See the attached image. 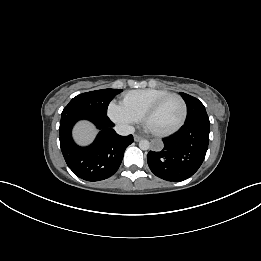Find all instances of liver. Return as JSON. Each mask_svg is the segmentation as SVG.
Masks as SVG:
<instances>
[{
    "label": "liver",
    "mask_w": 261,
    "mask_h": 261,
    "mask_svg": "<svg viewBox=\"0 0 261 261\" xmlns=\"http://www.w3.org/2000/svg\"><path fill=\"white\" fill-rule=\"evenodd\" d=\"M97 133V130L88 121H81L77 123L74 128L73 134L74 138L78 144L87 145L91 143Z\"/></svg>",
    "instance_id": "liver-1"
}]
</instances>
